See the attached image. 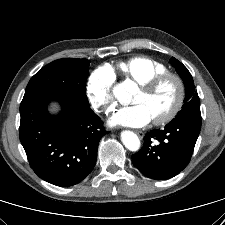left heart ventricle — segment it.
<instances>
[{"label":"left heart ventricle","instance_id":"b2bd125f","mask_svg":"<svg viewBox=\"0 0 225 225\" xmlns=\"http://www.w3.org/2000/svg\"><path fill=\"white\" fill-rule=\"evenodd\" d=\"M176 94V88L172 81L163 83L155 92L146 93L139 89L133 102L144 104L150 111L152 118L163 114L172 104Z\"/></svg>","mask_w":225,"mask_h":225}]
</instances>
